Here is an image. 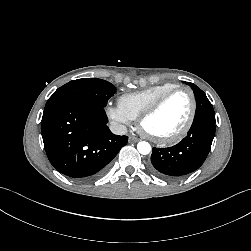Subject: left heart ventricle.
<instances>
[{
    "instance_id": "b2bd125f",
    "label": "left heart ventricle",
    "mask_w": 251,
    "mask_h": 251,
    "mask_svg": "<svg viewBox=\"0 0 251 251\" xmlns=\"http://www.w3.org/2000/svg\"><path fill=\"white\" fill-rule=\"evenodd\" d=\"M191 110L187 92L179 91L167 99L163 106L144 124V129L155 137H168L178 132L186 123Z\"/></svg>"
}]
</instances>
